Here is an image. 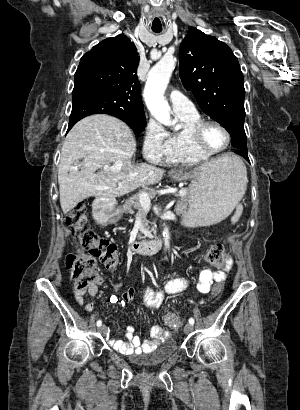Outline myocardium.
<instances>
[{
    "label": "myocardium",
    "mask_w": 300,
    "mask_h": 410,
    "mask_svg": "<svg viewBox=\"0 0 300 410\" xmlns=\"http://www.w3.org/2000/svg\"><path fill=\"white\" fill-rule=\"evenodd\" d=\"M208 125H216L225 133L227 141H226V144L224 145V147H222L220 149H211L205 144L204 138H203V133H204V129ZM191 139H192V142H193L194 146L200 152L212 156V155L219 154V153L225 151L229 147V145L231 143V140H232V137H231L230 131L228 130V128L222 122H220L218 120H215V119H201L192 128Z\"/></svg>",
    "instance_id": "myocardium-1"
}]
</instances>
